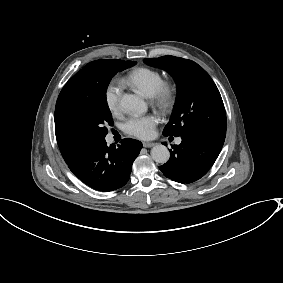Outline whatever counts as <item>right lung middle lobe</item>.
<instances>
[{
    "instance_id": "1",
    "label": "right lung middle lobe",
    "mask_w": 283,
    "mask_h": 283,
    "mask_svg": "<svg viewBox=\"0 0 283 283\" xmlns=\"http://www.w3.org/2000/svg\"><path fill=\"white\" fill-rule=\"evenodd\" d=\"M135 64L134 61L114 59L101 68L88 86L65 96L60 103V115L64 124L88 139L103 140L108 133L106 125H113L106 100L108 84L117 72Z\"/></svg>"
}]
</instances>
